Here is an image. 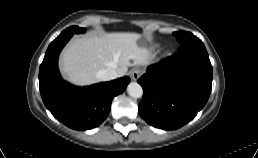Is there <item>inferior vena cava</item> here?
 I'll list each match as a JSON object with an SVG mask.
<instances>
[{
  "mask_svg": "<svg viewBox=\"0 0 258 158\" xmlns=\"http://www.w3.org/2000/svg\"><path fill=\"white\" fill-rule=\"evenodd\" d=\"M97 77L103 81H110L116 79L118 77V73L114 68L108 67L106 69L100 70L97 73Z\"/></svg>",
  "mask_w": 258,
  "mask_h": 158,
  "instance_id": "602c4592",
  "label": "inferior vena cava"
}]
</instances>
